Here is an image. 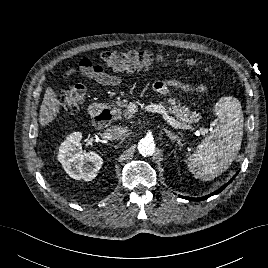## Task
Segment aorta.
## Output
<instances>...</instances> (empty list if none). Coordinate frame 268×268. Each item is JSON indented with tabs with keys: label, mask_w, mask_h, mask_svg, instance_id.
Segmentation results:
<instances>
[{
	"label": "aorta",
	"mask_w": 268,
	"mask_h": 268,
	"mask_svg": "<svg viewBox=\"0 0 268 268\" xmlns=\"http://www.w3.org/2000/svg\"><path fill=\"white\" fill-rule=\"evenodd\" d=\"M138 151L144 157L151 156L155 151L154 141L150 138L140 139L138 142Z\"/></svg>",
	"instance_id": "aorta-1"
}]
</instances>
